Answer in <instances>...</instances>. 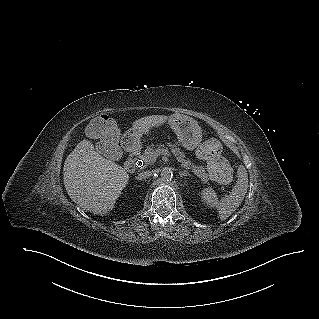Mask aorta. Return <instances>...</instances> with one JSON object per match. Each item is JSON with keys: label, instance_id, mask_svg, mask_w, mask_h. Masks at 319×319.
Returning <instances> with one entry per match:
<instances>
[{"label": "aorta", "instance_id": "aorta-1", "mask_svg": "<svg viewBox=\"0 0 319 319\" xmlns=\"http://www.w3.org/2000/svg\"><path fill=\"white\" fill-rule=\"evenodd\" d=\"M161 178L163 181H171L173 179V171L170 168H164L161 171Z\"/></svg>", "mask_w": 319, "mask_h": 319}]
</instances>
